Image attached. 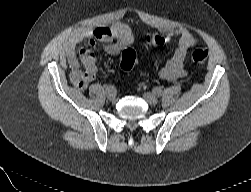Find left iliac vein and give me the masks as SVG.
<instances>
[{"label":"left iliac vein","instance_id":"4c4485c4","mask_svg":"<svg viewBox=\"0 0 251 192\" xmlns=\"http://www.w3.org/2000/svg\"><path fill=\"white\" fill-rule=\"evenodd\" d=\"M143 97L146 100V102L149 103L150 105H156L158 103L157 97L150 92L144 93Z\"/></svg>","mask_w":251,"mask_h":192}]
</instances>
